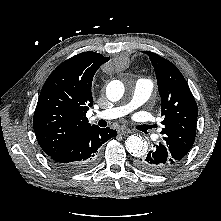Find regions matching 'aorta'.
Returning a JSON list of instances; mask_svg holds the SVG:
<instances>
[{
  "mask_svg": "<svg viewBox=\"0 0 221 221\" xmlns=\"http://www.w3.org/2000/svg\"><path fill=\"white\" fill-rule=\"evenodd\" d=\"M125 92L124 84L119 80L111 81L106 88V95L110 101L120 100ZM126 150L135 157L143 156L147 151V142L140 136L133 134L125 141Z\"/></svg>",
  "mask_w": 221,
  "mask_h": 221,
  "instance_id": "1",
  "label": "aorta"
}]
</instances>
